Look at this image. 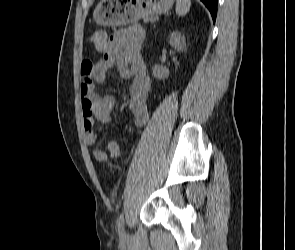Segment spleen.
<instances>
[{"mask_svg": "<svg viewBox=\"0 0 295 250\" xmlns=\"http://www.w3.org/2000/svg\"><path fill=\"white\" fill-rule=\"evenodd\" d=\"M191 7L190 0H176V13L179 16L185 15Z\"/></svg>", "mask_w": 295, "mask_h": 250, "instance_id": "3e777b00", "label": "spleen"}]
</instances>
